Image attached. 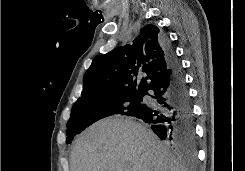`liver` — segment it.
<instances>
[{
    "label": "liver",
    "instance_id": "obj_1",
    "mask_svg": "<svg viewBox=\"0 0 245 171\" xmlns=\"http://www.w3.org/2000/svg\"><path fill=\"white\" fill-rule=\"evenodd\" d=\"M71 171H185L156 135L131 118L100 120L73 146Z\"/></svg>",
    "mask_w": 245,
    "mask_h": 171
}]
</instances>
